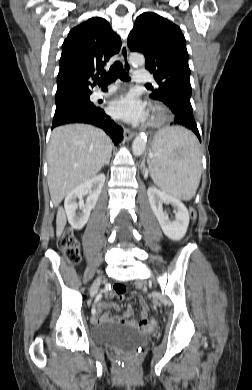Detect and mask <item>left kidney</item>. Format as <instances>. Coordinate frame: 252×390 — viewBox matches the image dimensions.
I'll list each match as a JSON object with an SVG mask.
<instances>
[{
  "label": "left kidney",
  "instance_id": "obj_1",
  "mask_svg": "<svg viewBox=\"0 0 252 390\" xmlns=\"http://www.w3.org/2000/svg\"><path fill=\"white\" fill-rule=\"evenodd\" d=\"M147 194L152 211L164 234L172 240H181L185 236L189 225V213L187 208L176 197L171 196L156 187H149ZM163 203L172 204L176 208L174 211V220H170L168 213L163 210Z\"/></svg>",
  "mask_w": 252,
  "mask_h": 390
}]
</instances>
